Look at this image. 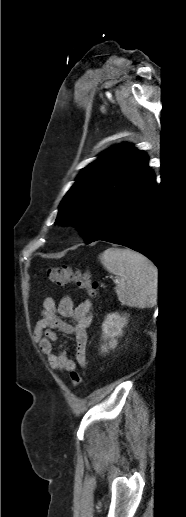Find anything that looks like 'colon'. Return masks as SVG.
Wrapping results in <instances>:
<instances>
[{"label": "colon", "instance_id": "obj_1", "mask_svg": "<svg viewBox=\"0 0 186 517\" xmlns=\"http://www.w3.org/2000/svg\"><path fill=\"white\" fill-rule=\"evenodd\" d=\"M49 281L58 286H65L75 283L78 287L85 289L91 296H96L98 292V282L92 281L88 276L70 266L63 265L50 267L46 271ZM71 382L74 387H79L83 381L82 375L75 369L70 373Z\"/></svg>", "mask_w": 186, "mask_h": 517}]
</instances>
